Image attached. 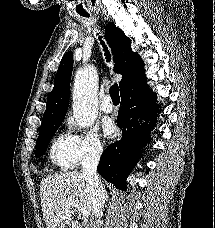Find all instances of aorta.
<instances>
[{"label": "aorta", "mask_w": 215, "mask_h": 228, "mask_svg": "<svg viewBox=\"0 0 215 228\" xmlns=\"http://www.w3.org/2000/svg\"><path fill=\"white\" fill-rule=\"evenodd\" d=\"M97 70L86 68L77 72L73 90V114L80 128H91L98 114Z\"/></svg>", "instance_id": "762f6f07"}]
</instances>
